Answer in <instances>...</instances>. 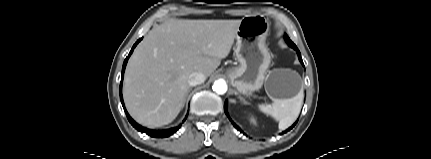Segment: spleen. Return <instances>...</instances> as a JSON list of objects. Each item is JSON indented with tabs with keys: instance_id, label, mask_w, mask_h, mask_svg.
<instances>
[{
	"instance_id": "3e777b00",
	"label": "spleen",
	"mask_w": 431,
	"mask_h": 159,
	"mask_svg": "<svg viewBox=\"0 0 431 159\" xmlns=\"http://www.w3.org/2000/svg\"><path fill=\"white\" fill-rule=\"evenodd\" d=\"M303 89L291 99H273L270 105L261 104V112L270 115L279 122V129L284 130L297 119L303 102Z\"/></svg>"
}]
</instances>
